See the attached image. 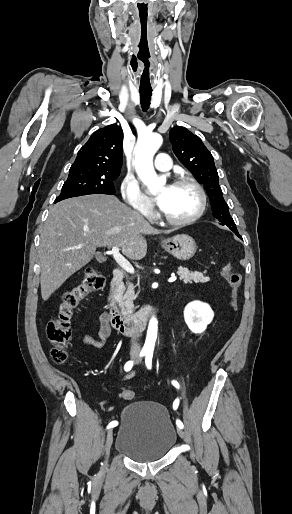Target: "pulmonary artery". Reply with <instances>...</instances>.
<instances>
[{"instance_id":"pulmonary-artery-1","label":"pulmonary artery","mask_w":292,"mask_h":514,"mask_svg":"<svg viewBox=\"0 0 292 514\" xmlns=\"http://www.w3.org/2000/svg\"><path fill=\"white\" fill-rule=\"evenodd\" d=\"M155 157L157 160H160L154 164V169L157 172H169L171 170L173 161L167 151H157Z\"/></svg>"}]
</instances>
